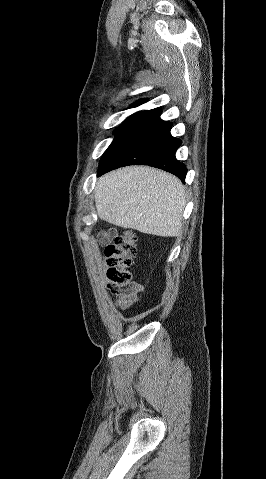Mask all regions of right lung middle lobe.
Here are the masks:
<instances>
[{"label":"right lung middle lobe","mask_w":266,"mask_h":479,"mask_svg":"<svg viewBox=\"0 0 266 479\" xmlns=\"http://www.w3.org/2000/svg\"><path fill=\"white\" fill-rule=\"evenodd\" d=\"M137 114H133L131 116H129L114 132V134H118L124 127L125 125L130 122Z\"/></svg>","instance_id":"obj_1"}]
</instances>
